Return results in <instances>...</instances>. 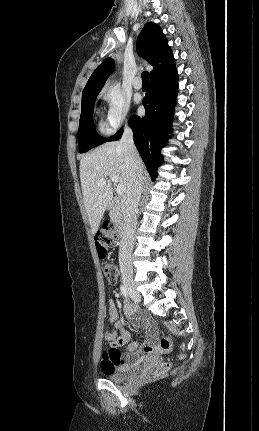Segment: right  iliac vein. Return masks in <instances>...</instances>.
Here are the masks:
<instances>
[{
	"label": "right iliac vein",
	"instance_id": "63e3f726",
	"mask_svg": "<svg viewBox=\"0 0 259 431\" xmlns=\"http://www.w3.org/2000/svg\"><path fill=\"white\" fill-rule=\"evenodd\" d=\"M122 281H123L125 288L127 289L128 293H129L130 297L135 302H140L141 296H140L139 292L136 290L132 275L129 272L124 271L122 273Z\"/></svg>",
	"mask_w": 259,
	"mask_h": 431
}]
</instances>
